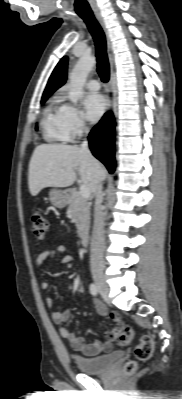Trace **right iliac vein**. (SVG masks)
<instances>
[{
  "mask_svg": "<svg viewBox=\"0 0 182 399\" xmlns=\"http://www.w3.org/2000/svg\"><path fill=\"white\" fill-rule=\"evenodd\" d=\"M94 282L97 285L99 292L104 298L108 297L109 289L107 284L105 283L104 277L102 274H95L94 275Z\"/></svg>",
  "mask_w": 182,
  "mask_h": 399,
  "instance_id": "63e3f726",
  "label": "right iliac vein"
}]
</instances>
